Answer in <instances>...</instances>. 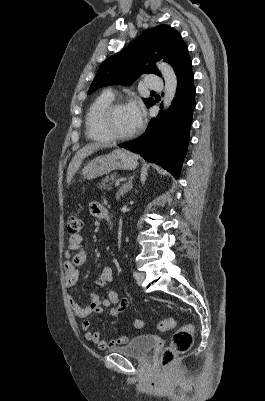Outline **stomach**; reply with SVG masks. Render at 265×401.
<instances>
[{
    "mask_svg": "<svg viewBox=\"0 0 265 401\" xmlns=\"http://www.w3.org/2000/svg\"><path fill=\"white\" fill-rule=\"evenodd\" d=\"M138 164L136 154L123 150V148H115L109 154H100L96 158L89 160L81 170L83 178L92 180L101 174H108L111 170H135Z\"/></svg>",
    "mask_w": 265,
    "mask_h": 401,
    "instance_id": "obj_1",
    "label": "stomach"
}]
</instances>
